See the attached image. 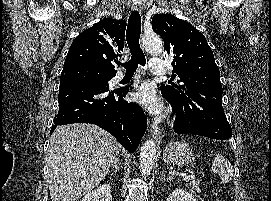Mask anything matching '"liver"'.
<instances>
[{
	"instance_id": "liver-1",
	"label": "liver",
	"mask_w": 271,
	"mask_h": 201,
	"mask_svg": "<svg viewBox=\"0 0 271 201\" xmlns=\"http://www.w3.org/2000/svg\"><path fill=\"white\" fill-rule=\"evenodd\" d=\"M121 145L93 124L59 126L50 138L51 201H76L97 187L118 159Z\"/></svg>"
}]
</instances>
